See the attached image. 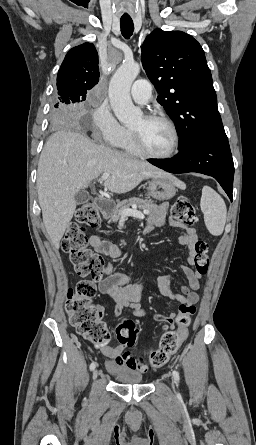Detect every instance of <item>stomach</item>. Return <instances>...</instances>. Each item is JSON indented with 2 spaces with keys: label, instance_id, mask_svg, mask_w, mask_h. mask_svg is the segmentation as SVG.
Returning <instances> with one entry per match:
<instances>
[{
  "label": "stomach",
  "instance_id": "1",
  "mask_svg": "<svg viewBox=\"0 0 256 445\" xmlns=\"http://www.w3.org/2000/svg\"><path fill=\"white\" fill-rule=\"evenodd\" d=\"M176 182L172 176H155L148 183V196L157 200H169L176 194Z\"/></svg>",
  "mask_w": 256,
  "mask_h": 445
}]
</instances>
